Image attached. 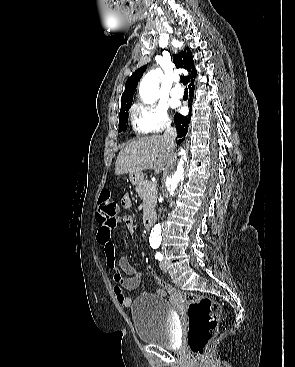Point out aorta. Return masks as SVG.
Listing matches in <instances>:
<instances>
[{
    "label": "aorta",
    "mask_w": 295,
    "mask_h": 367,
    "mask_svg": "<svg viewBox=\"0 0 295 367\" xmlns=\"http://www.w3.org/2000/svg\"><path fill=\"white\" fill-rule=\"evenodd\" d=\"M160 70H154L149 72L141 81L140 84V96L145 103L152 104L156 99L158 91ZM179 160L174 165L169 175L166 178V190L167 194L172 195L175 190L181 185L184 180L186 171V151L182 149L179 152ZM150 240L156 243L162 240V231L159 224L155 225L150 234Z\"/></svg>",
    "instance_id": "obj_1"
}]
</instances>
